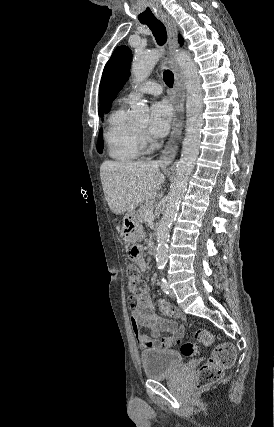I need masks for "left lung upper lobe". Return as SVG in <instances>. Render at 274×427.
<instances>
[{
  "label": "left lung upper lobe",
  "mask_w": 274,
  "mask_h": 427,
  "mask_svg": "<svg viewBox=\"0 0 274 427\" xmlns=\"http://www.w3.org/2000/svg\"><path fill=\"white\" fill-rule=\"evenodd\" d=\"M131 58L132 52L128 47H117L104 68L99 99L105 113L130 76Z\"/></svg>",
  "instance_id": "5c2ea615"
}]
</instances>
